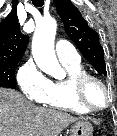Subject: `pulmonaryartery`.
Segmentation results:
<instances>
[{"label": "pulmonary artery", "instance_id": "1", "mask_svg": "<svg viewBox=\"0 0 117 136\" xmlns=\"http://www.w3.org/2000/svg\"><path fill=\"white\" fill-rule=\"evenodd\" d=\"M58 59L62 62H79L80 56L71 43L65 40H58L55 45Z\"/></svg>", "mask_w": 117, "mask_h": 136}]
</instances>
